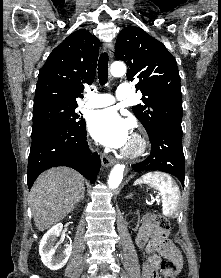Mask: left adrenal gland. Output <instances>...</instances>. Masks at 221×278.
Listing matches in <instances>:
<instances>
[{
  "label": "left adrenal gland",
  "mask_w": 221,
  "mask_h": 278,
  "mask_svg": "<svg viewBox=\"0 0 221 278\" xmlns=\"http://www.w3.org/2000/svg\"><path fill=\"white\" fill-rule=\"evenodd\" d=\"M132 196H133V194L130 193L129 195L126 196V198H127V199H128V198H132Z\"/></svg>",
  "instance_id": "obj_1"
}]
</instances>
